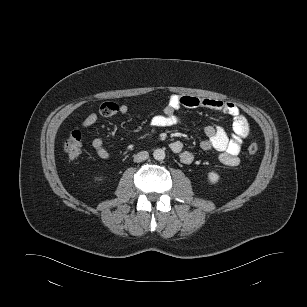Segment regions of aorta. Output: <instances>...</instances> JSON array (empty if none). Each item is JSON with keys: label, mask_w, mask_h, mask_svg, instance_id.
I'll list each match as a JSON object with an SVG mask.
<instances>
[{"label": "aorta", "mask_w": 307, "mask_h": 307, "mask_svg": "<svg viewBox=\"0 0 307 307\" xmlns=\"http://www.w3.org/2000/svg\"><path fill=\"white\" fill-rule=\"evenodd\" d=\"M165 151L163 149H155L153 152V157L155 160L162 161L165 158Z\"/></svg>", "instance_id": "762f6f07"}]
</instances>
